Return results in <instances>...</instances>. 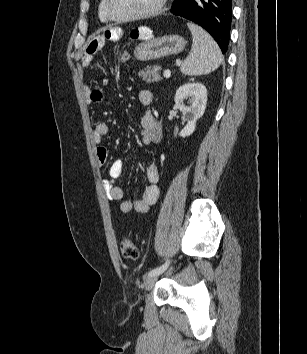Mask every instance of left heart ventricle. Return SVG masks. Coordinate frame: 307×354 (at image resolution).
Segmentation results:
<instances>
[{
    "label": "left heart ventricle",
    "mask_w": 307,
    "mask_h": 354,
    "mask_svg": "<svg viewBox=\"0 0 307 354\" xmlns=\"http://www.w3.org/2000/svg\"><path fill=\"white\" fill-rule=\"evenodd\" d=\"M157 0H111L113 11L120 16L133 15L151 9Z\"/></svg>",
    "instance_id": "1"
}]
</instances>
